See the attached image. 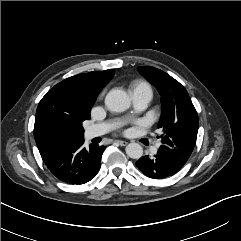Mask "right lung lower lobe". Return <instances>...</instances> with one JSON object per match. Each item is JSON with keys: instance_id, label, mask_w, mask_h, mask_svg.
Listing matches in <instances>:
<instances>
[{"instance_id": "right-lung-lower-lobe-1", "label": "right lung lower lobe", "mask_w": 241, "mask_h": 241, "mask_svg": "<svg viewBox=\"0 0 241 241\" xmlns=\"http://www.w3.org/2000/svg\"><path fill=\"white\" fill-rule=\"evenodd\" d=\"M84 140L77 139L57 148L43 158L51 173L68 184H84L92 180L100 169L104 146L83 147Z\"/></svg>"}]
</instances>
